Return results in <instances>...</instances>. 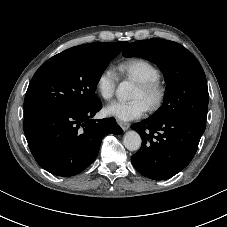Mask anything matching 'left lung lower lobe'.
<instances>
[{
	"label": "left lung lower lobe",
	"mask_w": 227,
	"mask_h": 227,
	"mask_svg": "<svg viewBox=\"0 0 227 227\" xmlns=\"http://www.w3.org/2000/svg\"><path fill=\"white\" fill-rule=\"evenodd\" d=\"M131 128L142 138L140 150L131 157L133 166L145 177L165 180L190 163L206 124L189 117H149Z\"/></svg>",
	"instance_id": "left-lung-lower-lobe-1"
}]
</instances>
